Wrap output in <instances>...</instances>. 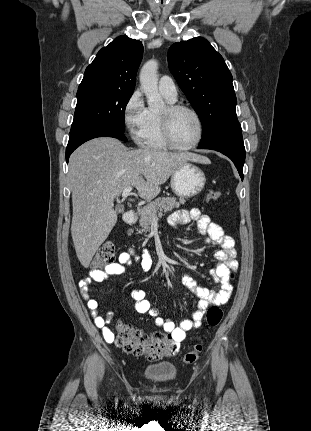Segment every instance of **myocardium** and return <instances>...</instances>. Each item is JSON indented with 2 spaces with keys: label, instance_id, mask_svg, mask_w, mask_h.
<instances>
[{
  "label": "myocardium",
  "instance_id": "myocardium-1",
  "mask_svg": "<svg viewBox=\"0 0 311 431\" xmlns=\"http://www.w3.org/2000/svg\"><path fill=\"white\" fill-rule=\"evenodd\" d=\"M182 111H187L192 113L198 120L200 126V133L197 140L187 146H181L176 143L173 137V121L175 117ZM160 126H161V137L165 144L176 150H191L197 147L204 138L206 132V125L202 115L195 108L179 104V103H170L161 113H160Z\"/></svg>",
  "mask_w": 311,
  "mask_h": 431
}]
</instances>
